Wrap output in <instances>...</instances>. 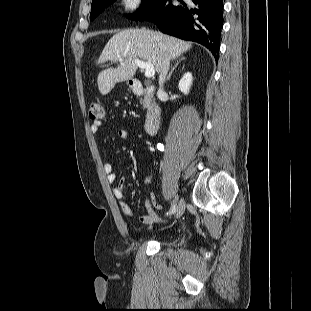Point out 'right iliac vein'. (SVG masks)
<instances>
[{
	"label": "right iliac vein",
	"instance_id": "obj_1",
	"mask_svg": "<svg viewBox=\"0 0 311 311\" xmlns=\"http://www.w3.org/2000/svg\"><path fill=\"white\" fill-rule=\"evenodd\" d=\"M184 210H185V202L183 199H180V201L176 207L175 218H180L182 216V214L184 213Z\"/></svg>",
	"mask_w": 311,
	"mask_h": 311
}]
</instances>
